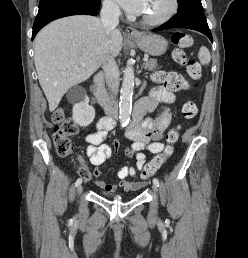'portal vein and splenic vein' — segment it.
<instances>
[{
  "label": "portal vein and splenic vein",
  "mask_w": 248,
  "mask_h": 258,
  "mask_svg": "<svg viewBox=\"0 0 248 258\" xmlns=\"http://www.w3.org/2000/svg\"><path fill=\"white\" fill-rule=\"evenodd\" d=\"M143 61L147 62L148 61V57H144Z\"/></svg>",
  "instance_id": "18ae733b"
}]
</instances>
